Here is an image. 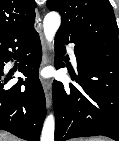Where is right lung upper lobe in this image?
I'll return each instance as SVG.
<instances>
[{
	"instance_id": "right-lung-upper-lobe-1",
	"label": "right lung upper lobe",
	"mask_w": 119,
	"mask_h": 141,
	"mask_svg": "<svg viewBox=\"0 0 119 141\" xmlns=\"http://www.w3.org/2000/svg\"><path fill=\"white\" fill-rule=\"evenodd\" d=\"M35 6L34 0H0V45L34 26Z\"/></svg>"
}]
</instances>
